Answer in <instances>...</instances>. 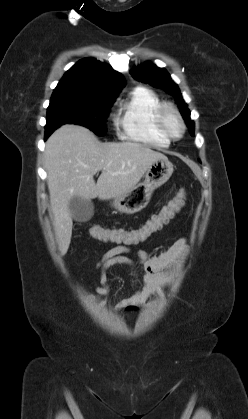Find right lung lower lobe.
Returning a JSON list of instances; mask_svg holds the SVG:
<instances>
[{
	"mask_svg": "<svg viewBox=\"0 0 248 419\" xmlns=\"http://www.w3.org/2000/svg\"><path fill=\"white\" fill-rule=\"evenodd\" d=\"M54 130H48L45 131V140L49 137V135L53 132Z\"/></svg>",
	"mask_w": 248,
	"mask_h": 419,
	"instance_id": "98d812e1",
	"label": "right lung lower lobe"
}]
</instances>
